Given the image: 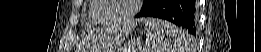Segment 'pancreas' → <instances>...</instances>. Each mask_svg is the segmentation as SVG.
<instances>
[{"label":"pancreas","instance_id":"obj_1","mask_svg":"<svg viewBox=\"0 0 261 52\" xmlns=\"http://www.w3.org/2000/svg\"><path fill=\"white\" fill-rule=\"evenodd\" d=\"M127 49H128V47H127V48H125V51H127Z\"/></svg>","mask_w":261,"mask_h":52}]
</instances>
